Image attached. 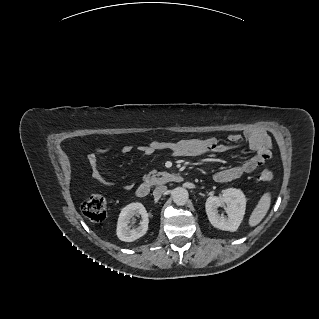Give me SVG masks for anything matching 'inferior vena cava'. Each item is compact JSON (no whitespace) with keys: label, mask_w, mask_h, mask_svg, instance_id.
<instances>
[{"label":"inferior vena cava","mask_w":319,"mask_h":319,"mask_svg":"<svg viewBox=\"0 0 319 319\" xmlns=\"http://www.w3.org/2000/svg\"><path fill=\"white\" fill-rule=\"evenodd\" d=\"M167 191V187L162 185L158 186L153 191V196L155 199H159L165 192Z\"/></svg>","instance_id":"inferior-vena-cava-1"}]
</instances>
